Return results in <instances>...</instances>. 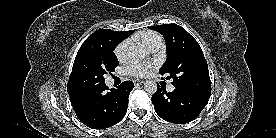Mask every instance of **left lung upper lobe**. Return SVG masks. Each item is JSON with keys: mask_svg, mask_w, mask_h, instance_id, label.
Listing matches in <instances>:
<instances>
[{"mask_svg": "<svg viewBox=\"0 0 276 138\" xmlns=\"http://www.w3.org/2000/svg\"><path fill=\"white\" fill-rule=\"evenodd\" d=\"M161 33L166 41L167 60L159 70L166 79H173L176 88L197 93H211L207 62L200 45L177 24L150 27Z\"/></svg>", "mask_w": 276, "mask_h": 138, "instance_id": "left-lung-upper-lobe-1", "label": "left lung upper lobe"}]
</instances>
